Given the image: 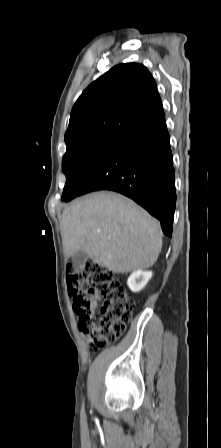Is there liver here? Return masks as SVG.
<instances>
[{"label": "liver", "mask_w": 221, "mask_h": 448, "mask_svg": "<svg viewBox=\"0 0 221 448\" xmlns=\"http://www.w3.org/2000/svg\"><path fill=\"white\" fill-rule=\"evenodd\" d=\"M61 234L67 257L85 251L114 273L151 267L162 248L160 223L131 199L107 191L65 208Z\"/></svg>", "instance_id": "6515ba94"}]
</instances>
